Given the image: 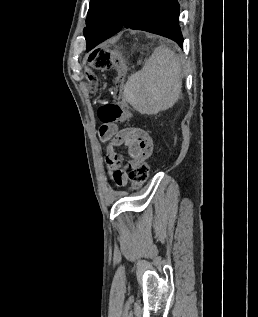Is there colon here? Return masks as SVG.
I'll return each mask as SVG.
<instances>
[{
  "instance_id": "5ec220e1",
  "label": "colon",
  "mask_w": 258,
  "mask_h": 317,
  "mask_svg": "<svg viewBox=\"0 0 258 317\" xmlns=\"http://www.w3.org/2000/svg\"><path fill=\"white\" fill-rule=\"evenodd\" d=\"M88 64L91 70H106L113 64L112 53L105 48H98L88 55ZM87 77L92 84L97 83V78L92 71L87 73ZM124 77L119 74L114 87V102L102 105L98 110V117L102 123H115L128 121L132 117L131 111L119 103L123 98ZM149 175V164L142 162L134 166L129 172V179L132 187L138 189L144 185Z\"/></svg>"
}]
</instances>
